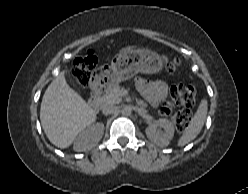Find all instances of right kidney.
I'll return each instance as SVG.
<instances>
[{
	"instance_id": "right-kidney-1",
	"label": "right kidney",
	"mask_w": 248,
	"mask_h": 194,
	"mask_svg": "<svg viewBox=\"0 0 248 194\" xmlns=\"http://www.w3.org/2000/svg\"><path fill=\"white\" fill-rule=\"evenodd\" d=\"M104 133V124L97 123L85 130H82L74 142V150L83 152L93 148L102 138Z\"/></svg>"
}]
</instances>
